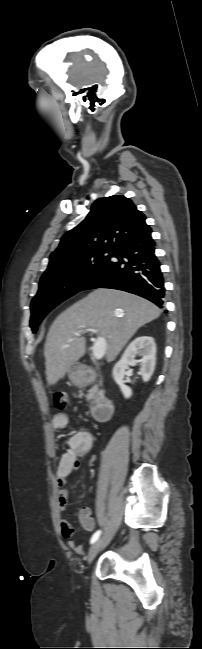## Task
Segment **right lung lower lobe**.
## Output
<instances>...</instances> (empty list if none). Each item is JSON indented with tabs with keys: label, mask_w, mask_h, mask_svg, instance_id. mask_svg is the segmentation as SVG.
<instances>
[{
	"label": "right lung lower lobe",
	"mask_w": 202,
	"mask_h": 649,
	"mask_svg": "<svg viewBox=\"0 0 202 649\" xmlns=\"http://www.w3.org/2000/svg\"><path fill=\"white\" fill-rule=\"evenodd\" d=\"M154 245L151 228L125 240L112 251V257L119 261L110 260L83 290L119 289L144 297L162 308L164 280Z\"/></svg>",
	"instance_id": "98d812e1"
}]
</instances>
